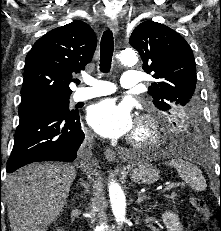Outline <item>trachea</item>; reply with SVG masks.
<instances>
[{
	"label": "trachea",
	"instance_id": "1",
	"mask_svg": "<svg viewBox=\"0 0 221 231\" xmlns=\"http://www.w3.org/2000/svg\"><path fill=\"white\" fill-rule=\"evenodd\" d=\"M114 51V40L111 30H106L100 44V71L108 73L111 68L112 56ZM77 83L80 81L77 80Z\"/></svg>",
	"mask_w": 221,
	"mask_h": 231
}]
</instances>
